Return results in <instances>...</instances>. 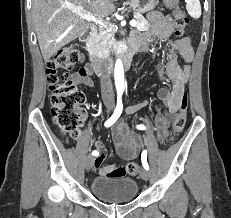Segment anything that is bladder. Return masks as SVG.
<instances>
[{
  "mask_svg": "<svg viewBox=\"0 0 231 218\" xmlns=\"http://www.w3.org/2000/svg\"><path fill=\"white\" fill-rule=\"evenodd\" d=\"M91 191L101 201L125 203L136 197L138 184L131 177L102 175L93 179Z\"/></svg>",
  "mask_w": 231,
  "mask_h": 218,
  "instance_id": "obj_1",
  "label": "bladder"
}]
</instances>
